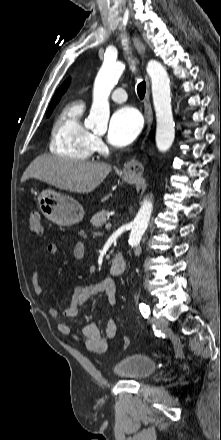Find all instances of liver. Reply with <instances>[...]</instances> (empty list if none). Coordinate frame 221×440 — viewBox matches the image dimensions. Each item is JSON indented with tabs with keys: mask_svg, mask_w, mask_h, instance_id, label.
<instances>
[{
	"mask_svg": "<svg viewBox=\"0 0 221 440\" xmlns=\"http://www.w3.org/2000/svg\"><path fill=\"white\" fill-rule=\"evenodd\" d=\"M111 170V165L107 163L41 155L28 166L21 181L35 178L70 192L90 193L103 182Z\"/></svg>",
	"mask_w": 221,
	"mask_h": 440,
	"instance_id": "liver-1",
	"label": "liver"
}]
</instances>
